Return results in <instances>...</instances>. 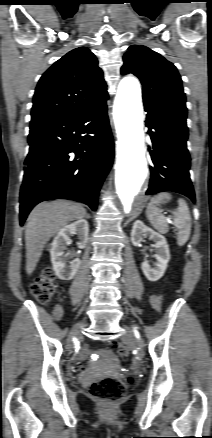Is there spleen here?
<instances>
[{
  "instance_id": "spleen-1",
  "label": "spleen",
  "mask_w": 212,
  "mask_h": 438,
  "mask_svg": "<svg viewBox=\"0 0 212 438\" xmlns=\"http://www.w3.org/2000/svg\"><path fill=\"white\" fill-rule=\"evenodd\" d=\"M169 193L163 192L153 196L147 206L146 215L153 227L160 233L165 234L169 230L165 216L158 206L171 200ZM174 225L178 229L177 244L183 246L189 239L191 233V215L187 203L178 199V207L172 211Z\"/></svg>"
}]
</instances>
